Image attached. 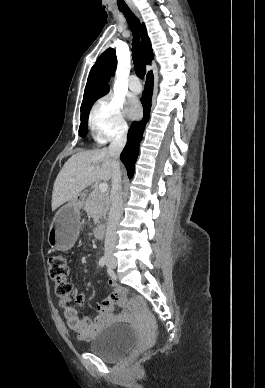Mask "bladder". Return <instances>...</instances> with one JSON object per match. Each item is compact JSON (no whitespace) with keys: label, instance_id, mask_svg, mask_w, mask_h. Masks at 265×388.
Here are the masks:
<instances>
[{"label":"bladder","instance_id":"1","mask_svg":"<svg viewBox=\"0 0 265 388\" xmlns=\"http://www.w3.org/2000/svg\"><path fill=\"white\" fill-rule=\"evenodd\" d=\"M136 338L133 327L127 324L112 325L94 337L89 350L103 358H114L126 352Z\"/></svg>","mask_w":265,"mask_h":388}]
</instances>
